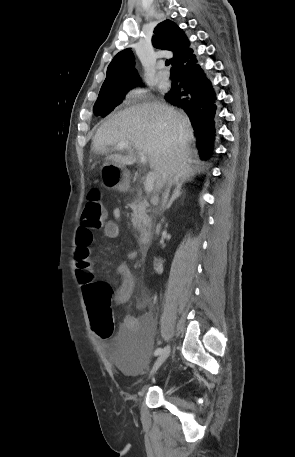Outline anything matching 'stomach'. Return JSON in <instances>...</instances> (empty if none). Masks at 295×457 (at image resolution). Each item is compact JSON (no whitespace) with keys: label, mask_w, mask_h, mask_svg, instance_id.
<instances>
[{"label":"stomach","mask_w":295,"mask_h":457,"mask_svg":"<svg viewBox=\"0 0 295 457\" xmlns=\"http://www.w3.org/2000/svg\"><path fill=\"white\" fill-rule=\"evenodd\" d=\"M100 173L106 188L122 192L129 189V174L123 165L108 160L101 167Z\"/></svg>","instance_id":"1"}]
</instances>
